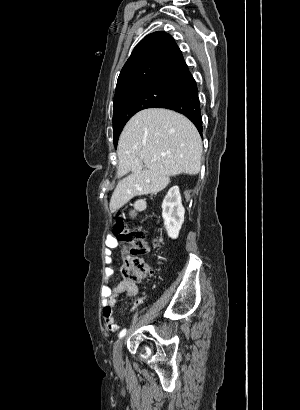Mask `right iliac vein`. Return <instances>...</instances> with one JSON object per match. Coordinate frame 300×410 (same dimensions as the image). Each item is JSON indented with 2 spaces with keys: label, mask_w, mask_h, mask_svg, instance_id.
Here are the masks:
<instances>
[{
  "label": "right iliac vein",
  "mask_w": 300,
  "mask_h": 410,
  "mask_svg": "<svg viewBox=\"0 0 300 410\" xmlns=\"http://www.w3.org/2000/svg\"><path fill=\"white\" fill-rule=\"evenodd\" d=\"M122 343L123 341L120 340L115 344L114 350H113V361L116 365H119L121 362L122 358Z\"/></svg>",
  "instance_id": "1"
}]
</instances>
